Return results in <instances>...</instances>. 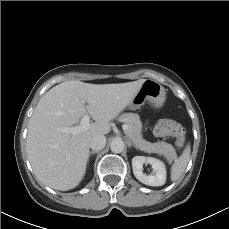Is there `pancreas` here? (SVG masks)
<instances>
[{
  "label": "pancreas",
  "instance_id": "pancreas-1",
  "mask_svg": "<svg viewBox=\"0 0 229 229\" xmlns=\"http://www.w3.org/2000/svg\"><path fill=\"white\" fill-rule=\"evenodd\" d=\"M118 120L128 125L126 135L130 138L137 149L146 153L163 155L169 162H172V160L176 158V151L171 144L164 141L150 143L143 138L142 122L140 121L138 114L125 113L122 114Z\"/></svg>",
  "mask_w": 229,
  "mask_h": 229
}]
</instances>
